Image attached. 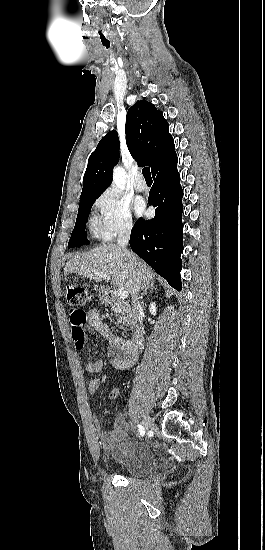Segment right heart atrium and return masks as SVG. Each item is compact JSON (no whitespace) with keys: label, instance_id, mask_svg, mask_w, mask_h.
Returning a JSON list of instances; mask_svg holds the SVG:
<instances>
[{"label":"right heart atrium","instance_id":"d8ad5b80","mask_svg":"<svg viewBox=\"0 0 265 550\" xmlns=\"http://www.w3.org/2000/svg\"><path fill=\"white\" fill-rule=\"evenodd\" d=\"M100 213V230L104 239L112 240L119 235L129 234L133 228L131 207L114 189H107L96 200Z\"/></svg>","mask_w":265,"mask_h":550}]
</instances>
